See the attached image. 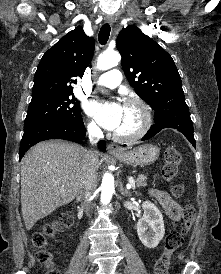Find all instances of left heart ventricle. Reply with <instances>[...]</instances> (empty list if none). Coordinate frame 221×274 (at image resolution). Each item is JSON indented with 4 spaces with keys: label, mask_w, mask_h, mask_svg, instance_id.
Listing matches in <instances>:
<instances>
[{
    "label": "left heart ventricle",
    "mask_w": 221,
    "mask_h": 274,
    "mask_svg": "<svg viewBox=\"0 0 221 274\" xmlns=\"http://www.w3.org/2000/svg\"><path fill=\"white\" fill-rule=\"evenodd\" d=\"M142 124V114L137 106H123L122 117L117 132L132 133L135 132Z\"/></svg>",
    "instance_id": "b2bd125f"
}]
</instances>
